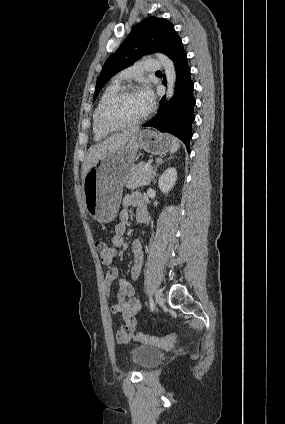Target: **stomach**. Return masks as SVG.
<instances>
[{
	"mask_svg": "<svg viewBox=\"0 0 285 424\" xmlns=\"http://www.w3.org/2000/svg\"><path fill=\"white\" fill-rule=\"evenodd\" d=\"M173 137L152 130H142L123 147L108 153L88 171L83 179L85 208L100 223H109L117 215L123 186L131 176L138 149L157 155L168 152Z\"/></svg>",
	"mask_w": 285,
	"mask_h": 424,
	"instance_id": "obj_1",
	"label": "stomach"
}]
</instances>
